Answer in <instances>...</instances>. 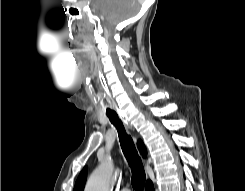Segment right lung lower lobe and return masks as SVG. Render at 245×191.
I'll list each match as a JSON object with an SVG mask.
<instances>
[{
	"label": "right lung lower lobe",
	"mask_w": 245,
	"mask_h": 191,
	"mask_svg": "<svg viewBox=\"0 0 245 191\" xmlns=\"http://www.w3.org/2000/svg\"><path fill=\"white\" fill-rule=\"evenodd\" d=\"M145 191H155L154 190V186H153V183L151 180H148L146 182V188H145Z\"/></svg>",
	"instance_id": "1"
}]
</instances>
